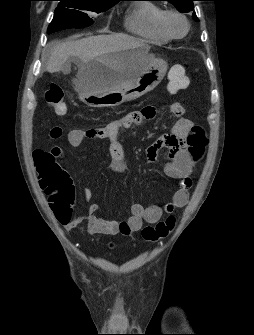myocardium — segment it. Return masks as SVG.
Returning a JSON list of instances; mask_svg holds the SVG:
<instances>
[{
	"mask_svg": "<svg viewBox=\"0 0 254 335\" xmlns=\"http://www.w3.org/2000/svg\"><path fill=\"white\" fill-rule=\"evenodd\" d=\"M169 16H177V17H179L180 19L183 20V22L186 25V29H185L183 34L174 35L169 31V29L167 28V25H166V19ZM158 27H159V30L167 38H169V39H181L188 34V32L190 30V22H189L188 18L186 17V15L183 14L182 12H180L178 10H174V9H167V10H163L162 13L160 14L159 19H158Z\"/></svg>",
	"mask_w": 254,
	"mask_h": 335,
	"instance_id": "obj_1",
	"label": "myocardium"
}]
</instances>
